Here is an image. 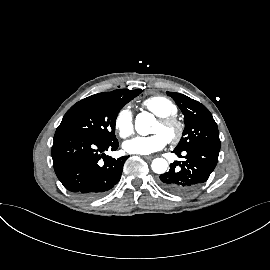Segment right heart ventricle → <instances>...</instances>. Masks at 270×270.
<instances>
[{"label": "right heart ventricle", "mask_w": 270, "mask_h": 270, "mask_svg": "<svg viewBox=\"0 0 270 270\" xmlns=\"http://www.w3.org/2000/svg\"><path fill=\"white\" fill-rule=\"evenodd\" d=\"M142 105L157 117L177 114V106L164 96H152L145 99Z\"/></svg>", "instance_id": "1"}]
</instances>
